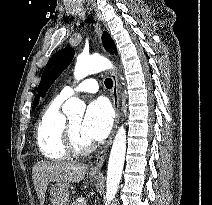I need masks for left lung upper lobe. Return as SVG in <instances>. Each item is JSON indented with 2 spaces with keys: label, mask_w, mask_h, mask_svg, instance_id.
Here are the masks:
<instances>
[{
  "label": "left lung upper lobe",
  "mask_w": 212,
  "mask_h": 205,
  "mask_svg": "<svg viewBox=\"0 0 212 205\" xmlns=\"http://www.w3.org/2000/svg\"><path fill=\"white\" fill-rule=\"evenodd\" d=\"M103 45L105 49L110 53H116L115 45L112 41V39L104 33L102 37ZM74 56V50L73 48L66 47L65 49L60 50L55 55H53L44 71L41 77L40 84L38 86V91L41 92L43 95L47 91V89L50 87V85L57 79V77L63 72L64 69L67 68V66L71 63Z\"/></svg>",
  "instance_id": "obj_1"
}]
</instances>
